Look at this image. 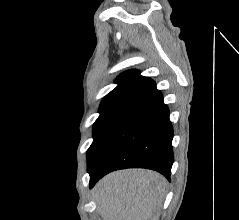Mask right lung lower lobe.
<instances>
[{
	"mask_svg": "<svg viewBox=\"0 0 239 220\" xmlns=\"http://www.w3.org/2000/svg\"><path fill=\"white\" fill-rule=\"evenodd\" d=\"M173 128L161 92L154 89L135 103L89 172L90 187L107 173L123 168H148L170 179Z\"/></svg>",
	"mask_w": 239,
	"mask_h": 220,
	"instance_id": "right-lung-lower-lobe-1",
	"label": "right lung lower lobe"
}]
</instances>
